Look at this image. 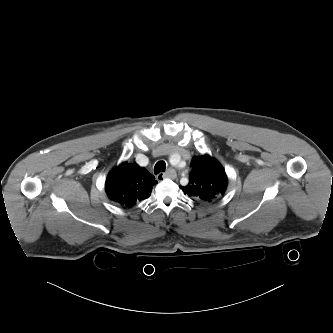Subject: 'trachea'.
<instances>
[{
	"instance_id": "3493384b",
	"label": "trachea",
	"mask_w": 333,
	"mask_h": 333,
	"mask_svg": "<svg viewBox=\"0 0 333 333\" xmlns=\"http://www.w3.org/2000/svg\"><path fill=\"white\" fill-rule=\"evenodd\" d=\"M165 169H166V163L164 161H158L155 164L154 173L159 174L160 172H164Z\"/></svg>"
}]
</instances>
